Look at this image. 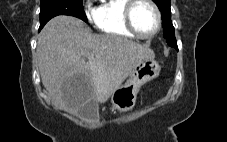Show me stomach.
I'll list each match as a JSON object with an SVG mask.
<instances>
[{
  "label": "stomach",
  "mask_w": 227,
  "mask_h": 142,
  "mask_svg": "<svg viewBox=\"0 0 227 142\" xmlns=\"http://www.w3.org/2000/svg\"><path fill=\"white\" fill-rule=\"evenodd\" d=\"M160 66L154 60H143L132 71L130 78L117 88L111 97L115 108L126 111L136 102L137 94L143 84L159 75Z\"/></svg>",
  "instance_id": "stomach-1"
}]
</instances>
